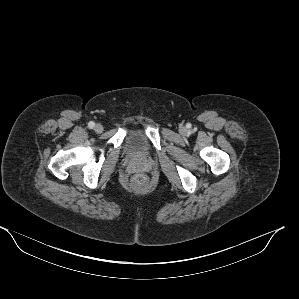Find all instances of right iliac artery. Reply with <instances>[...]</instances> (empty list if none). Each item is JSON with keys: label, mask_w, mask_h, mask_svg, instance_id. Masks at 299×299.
Returning <instances> with one entry per match:
<instances>
[{"label": "right iliac artery", "mask_w": 299, "mask_h": 299, "mask_svg": "<svg viewBox=\"0 0 299 299\" xmlns=\"http://www.w3.org/2000/svg\"><path fill=\"white\" fill-rule=\"evenodd\" d=\"M95 126V123L93 121L89 122L88 123V127L89 128H93Z\"/></svg>", "instance_id": "right-iliac-artery-1"}]
</instances>
